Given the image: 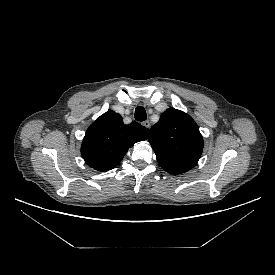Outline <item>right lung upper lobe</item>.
I'll use <instances>...</instances> for the list:
<instances>
[{
    "mask_svg": "<svg viewBox=\"0 0 275 275\" xmlns=\"http://www.w3.org/2000/svg\"><path fill=\"white\" fill-rule=\"evenodd\" d=\"M149 131L137 122L125 125L120 114L109 110L87 129L81 146L82 157L98 171L111 170L130 147L147 139Z\"/></svg>",
    "mask_w": 275,
    "mask_h": 275,
    "instance_id": "1",
    "label": "right lung upper lobe"
}]
</instances>
